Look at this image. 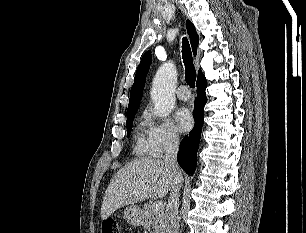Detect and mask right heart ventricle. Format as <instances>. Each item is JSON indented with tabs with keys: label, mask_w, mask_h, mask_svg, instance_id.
Instances as JSON below:
<instances>
[{
	"label": "right heart ventricle",
	"mask_w": 306,
	"mask_h": 233,
	"mask_svg": "<svg viewBox=\"0 0 306 233\" xmlns=\"http://www.w3.org/2000/svg\"><path fill=\"white\" fill-rule=\"evenodd\" d=\"M148 123L143 117L139 120L134 133V152L140 156L145 157L149 154V144L147 137Z\"/></svg>",
	"instance_id": "e07e8e85"
}]
</instances>
